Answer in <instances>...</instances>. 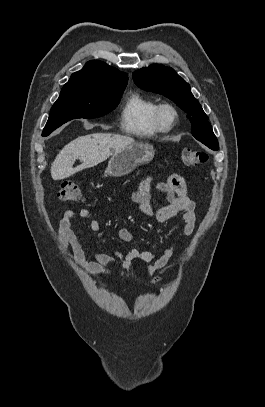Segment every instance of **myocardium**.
I'll use <instances>...</instances> for the list:
<instances>
[{
	"instance_id": "1",
	"label": "myocardium",
	"mask_w": 265,
	"mask_h": 407,
	"mask_svg": "<svg viewBox=\"0 0 265 407\" xmlns=\"http://www.w3.org/2000/svg\"><path fill=\"white\" fill-rule=\"evenodd\" d=\"M178 120V110L171 103H163L157 106L155 122L160 131H170Z\"/></svg>"
}]
</instances>
